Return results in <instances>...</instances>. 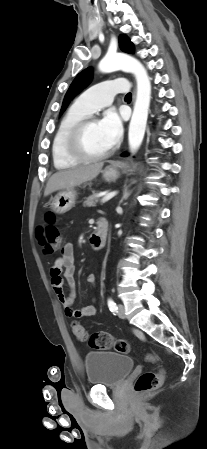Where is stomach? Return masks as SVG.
Instances as JSON below:
<instances>
[{"instance_id": "0dacf381", "label": "stomach", "mask_w": 207, "mask_h": 449, "mask_svg": "<svg viewBox=\"0 0 207 449\" xmlns=\"http://www.w3.org/2000/svg\"><path fill=\"white\" fill-rule=\"evenodd\" d=\"M127 166L124 164H116L107 166L103 171V178L106 181H114L120 176V170H127ZM77 192L73 189H66L60 191L51 201V209L57 214H64L68 212L74 205Z\"/></svg>"}]
</instances>
